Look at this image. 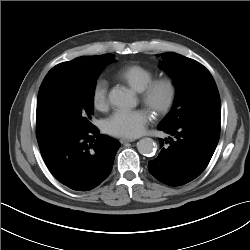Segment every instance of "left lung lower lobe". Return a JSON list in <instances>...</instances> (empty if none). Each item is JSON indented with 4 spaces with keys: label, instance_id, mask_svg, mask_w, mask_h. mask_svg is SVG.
I'll use <instances>...</instances> for the list:
<instances>
[{
    "label": "left lung lower lobe",
    "instance_id": "1",
    "mask_svg": "<svg viewBox=\"0 0 250 250\" xmlns=\"http://www.w3.org/2000/svg\"><path fill=\"white\" fill-rule=\"evenodd\" d=\"M171 135L159 139V156L148 164L149 172L170 186L184 185L207 167L220 137V115L187 120L178 127L158 126Z\"/></svg>",
    "mask_w": 250,
    "mask_h": 250
}]
</instances>
